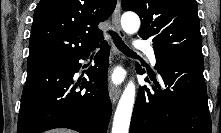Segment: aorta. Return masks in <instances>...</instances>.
<instances>
[{
  "mask_svg": "<svg viewBox=\"0 0 221 133\" xmlns=\"http://www.w3.org/2000/svg\"><path fill=\"white\" fill-rule=\"evenodd\" d=\"M121 25L126 33L134 34L140 28V19L135 13H124L121 18ZM135 93V85L132 81H130L125 87L117 105L111 133L129 132L135 102Z\"/></svg>",
  "mask_w": 221,
  "mask_h": 133,
  "instance_id": "762f6f07",
  "label": "aorta"
}]
</instances>
